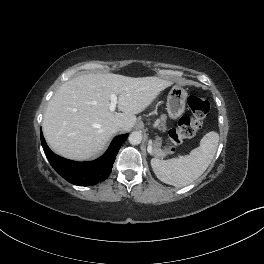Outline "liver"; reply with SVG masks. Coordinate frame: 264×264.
Listing matches in <instances>:
<instances>
[{
    "instance_id": "6515ba94",
    "label": "liver",
    "mask_w": 264,
    "mask_h": 264,
    "mask_svg": "<svg viewBox=\"0 0 264 264\" xmlns=\"http://www.w3.org/2000/svg\"><path fill=\"white\" fill-rule=\"evenodd\" d=\"M172 81L159 77H127L118 74H84L58 89L48 103L42 127L44 137L57 154L74 160L97 155L113 135L112 126L129 131L136 114L145 110ZM118 96V110H109L110 95Z\"/></svg>"
}]
</instances>
